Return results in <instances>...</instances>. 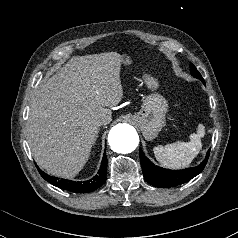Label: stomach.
<instances>
[{"instance_id":"0dacf381","label":"stomach","mask_w":238,"mask_h":238,"mask_svg":"<svg viewBox=\"0 0 238 238\" xmlns=\"http://www.w3.org/2000/svg\"><path fill=\"white\" fill-rule=\"evenodd\" d=\"M132 59L129 55H121V64L130 65ZM144 82L151 90L158 88V82L155 78L145 75ZM168 111L167 100L158 93L148 95L143 100L142 109L131 116L132 120L141 129L147 140L157 137L162 127L165 125V116Z\"/></svg>"}]
</instances>
